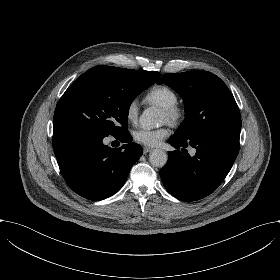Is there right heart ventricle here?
Listing matches in <instances>:
<instances>
[{
    "mask_svg": "<svg viewBox=\"0 0 280 280\" xmlns=\"http://www.w3.org/2000/svg\"><path fill=\"white\" fill-rule=\"evenodd\" d=\"M144 100L148 103L165 107L177 104L179 96L173 88L164 84H156L147 90Z\"/></svg>",
    "mask_w": 280,
    "mask_h": 280,
    "instance_id": "right-heart-ventricle-1",
    "label": "right heart ventricle"
}]
</instances>
